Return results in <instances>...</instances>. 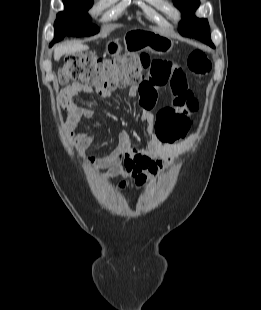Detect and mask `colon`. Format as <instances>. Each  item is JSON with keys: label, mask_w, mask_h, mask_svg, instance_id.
Returning <instances> with one entry per match:
<instances>
[{"label": "colon", "mask_w": 261, "mask_h": 310, "mask_svg": "<svg viewBox=\"0 0 261 310\" xmlns=\"http://www.w3.org/2000/svg\"><path fill=\"white\" fill-rule=\"evenodd\" d=\"M150 59L144 54L128 53L113 59H104L93 53H72L65 57L59 71V81L65 85H82L97 91H112L145 82L144 71ZM188 68L201 77L208 74L212 62L208 53L195 49L188 57Z\"/></svg>", "instance_id": "1"}]
</instances>
